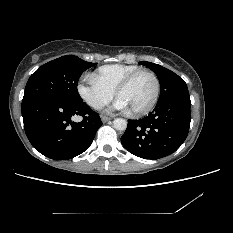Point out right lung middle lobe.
<instances>
[{"label": "right lung middle lobe", "instance_id": "dd1d6c3e", "mask_svg": "<svg viewBox=\"0 0 233 233\" xmlns=\"http://www.w3.org/2000/svg\"><path fill=\"white\" fill-rule=\"evenodd\" d=\"M94 65L95 63L86 62L74 55L62 56L42 65L30 76L22 105L43 98L82 101L77 83L81 74Z\"/></svg>", "mask_w": 233, "mask_h": 233}]
</instances>
